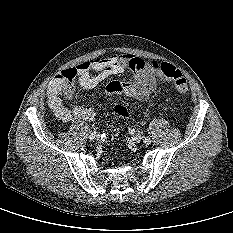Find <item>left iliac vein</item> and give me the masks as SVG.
<instances>
[{"label":"left iliac vein","mask_w":233,"mask_h":233,"mask_svg":"<svg viewBox=\"0 0 233 233\" xmlns=\"http://www.w3.org/2000/svg\"><path fill=\"white\" fill-rule=\"evenodd\" d=\"M143 139V136L141 133H136L135 134V141L140 142ZM147 144V143H146Z\"/></svg>","instance_id":"obj_1"}]
</instances>
